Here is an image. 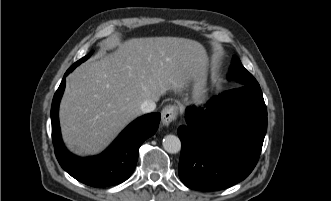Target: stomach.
I'll return each instance as SVG.
<instances>
[{
    "label": "stomach",
    "mask_w": 331,
    "mask_h": 201,
    "mask_svg": "<svg viewBox=\"0 0 331 201\" xmlns=\"http://www.w3.org/2000/svg\"><path fill=\"white\" fill-rule=\"evenodd\" d=\"M208 100V88L206 84V69H201L199 75L193 81L191 102L203 105Z\"/></svg>",
    "instance_id": "0dacf381"
}]
</instances>
